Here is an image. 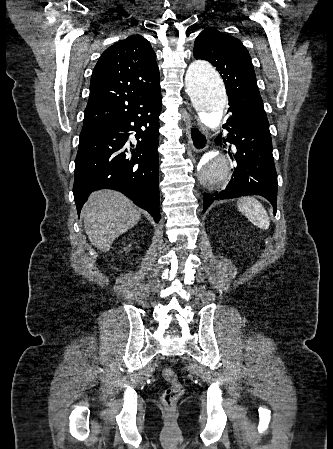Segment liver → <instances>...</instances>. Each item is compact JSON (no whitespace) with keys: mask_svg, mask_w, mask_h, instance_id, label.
Here are the masks:
<instances>
[{"mask_svg":"<svg viewBox=\"0 0 333 449\" xmlns=\"http://www.w3.org/2000/svg\"><path fill=\"white\" fill-rule=\"evenodd\" d=\"M82 217L90 242L101 252H107L116 238L138 223L141 214L120 192L100 190L90 195Z\"/></svg>","mask_w":333,"mask_h":449,"instance_id":"1","label":"liver"}]
</instances>
